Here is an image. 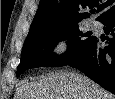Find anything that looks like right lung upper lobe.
<instances>
[{
    "label": "right lung upper lobe",
    "instance_id": "cb5924a9",
    "mask_svg": "<svg viewBox=\"0 0 115 99\" xmlns=\"http://www.w3.org/2000/svg\"><path fill=\"white\" fill-rule=\"evenodd\" d=\"M94 8L101 12L97 20L115 11V0H40L38 10L33 19L28 36H35L59 30L90 17L88 12L81 9Z\"/></svg>",
    "mask_w": 115,
    "mask_h": 99
}]
</instances>
